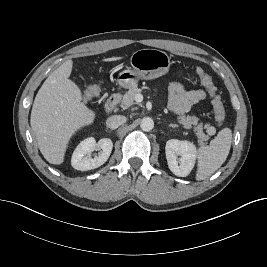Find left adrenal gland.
I'll list each match as a JSON object with an SVG mask.
<instances>
[{
	"label": "left adrenal gland",
	"mask_w": 267,
	"mask_h": 267,
	"mask_svg": "<svg viewBox=\"0 0 267 267\" xmlns=\"http://www.w3.org/2000/svg\"><path fill=\"white\" fill-rule=\"evenodd\" d=\"M168 126L172 127V128H176L177 127V125H175V124H169Z\"/></svg>",
	"instance_id": "obj_1"
}]
</instances>
